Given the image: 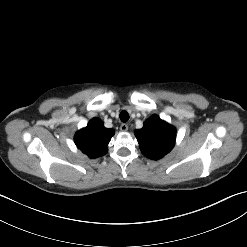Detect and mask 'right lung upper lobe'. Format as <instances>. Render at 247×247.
Wrapping results in <instances>:
<instances>
[{"label":"right lung upper lobe","mask_w":247,"mask_h":247,"mask_svg":"<svg viewBox=\"0 0 247 247\" xmlns=\"http://www.w3.org/2000/svg\"><path fill=\"white\" fill-rule=\"evenodd\" d=\"M113 136V129L105 128L100 119L93 118L85 128L76 133L74 141L83 153L90 158H97L107 153V145Z\"/></svg>","instance_id":"right-lung-upper-lobe-1"}]
</instances>
